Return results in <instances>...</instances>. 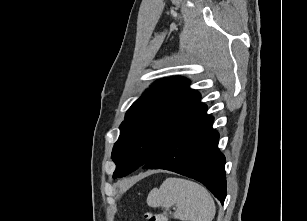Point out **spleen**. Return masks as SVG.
I'll list each match as a JSON object with an SVG mask.
<instances>
[{
	"mask_svg": "<svg viewBox=\"0 0 307 221\" xmlns=\"http://www.w3.org/2000/svg\"><path fill=\"white\" fill-rule=\"evenodd\" d=\"M147 204L164 209V214L176 206L173 217L181 221H212L216 213L214 200L208 190L182 178H167L159 189H152Z\"/></svg>",
	"mask_w": 307,
	"mask_h": 221,
	"instance_id": "spleen-1",
	"label": "spleen"
}]
</instances>
